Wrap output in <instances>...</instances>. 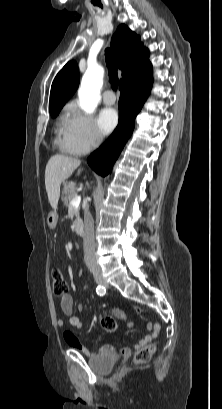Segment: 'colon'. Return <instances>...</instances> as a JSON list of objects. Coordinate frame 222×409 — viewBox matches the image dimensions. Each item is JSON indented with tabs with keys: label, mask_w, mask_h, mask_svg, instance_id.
Wrapping results in <instances>:
<instances>
[{
	"label": "colon",
	"mask_w": 222,
	"mask_h": 409,
	"mask_svg": "<svg viewBox=\"0 0 222 409\" xmlns=\"http://www.w3.org/2000/svg\"><path fill=\"white\" fill-rule=\"evenodd\" d=\"M51 287L52 291L56 296H63L67 294L68 291V285L67 282L62 274V272L55 268L52 270L51 273ZM135 311L137 313L140 312L139 308H135ZM102 326L107 329V330H113L115 328V323L109 318L105 317L101 320ZM154 346L153 345H146L142 347L135 355V361L137 363H145L147 362L153 352H154Z\"/></svg>",
	"instance_id": "obj_1"
}]
</instances>
